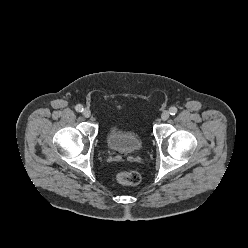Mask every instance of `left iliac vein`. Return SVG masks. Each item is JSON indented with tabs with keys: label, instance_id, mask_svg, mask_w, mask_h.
Returning <instances> with one entry per match:
<instances>
[{
	"label": "left iliac vein",
	"instance_id": "left-iliac-vein-1",
	"mask_svg": "<svg viewBox=\"0 0 248 248\" xmlns=\"http://www.w3.org/2000/svg\"><path fill=\"white\" fill-rule=\"evenodd\" d=\"M170 114L168 111H163L162 114H161V119L163 121H166L168 118H169Z\"/></svg>",
	"mask_w": 248,
	"mask_h": 248
}]
</instances>
